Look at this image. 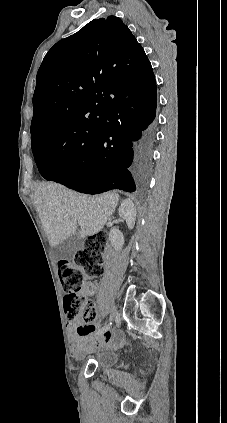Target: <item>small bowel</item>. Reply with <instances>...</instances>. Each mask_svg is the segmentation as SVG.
Returning <instances> with one entry per match:
<instances>
[{"instance_id": "obj_1", "label": "small bowel", "mask_w": 227, "mask_h": 423, "mask_svg": "<svg viewBox=\"0 0 227 423\" xmlns=\"http://www.w3.org/2000/svg\"><path fill=\"white\" fill-rule=\"evenodd\" d=\"M93 285L89 284L86 293L90 294L93 291ZM96 324L90 322L81 326V331L70 335V352L73 356L81 355L85 346L88 344L89 348L96 347H118L122 344L123 338L119 331H104L100 338L92 340L91 336L95 332Z\"/></svg>"}]
</instances>
